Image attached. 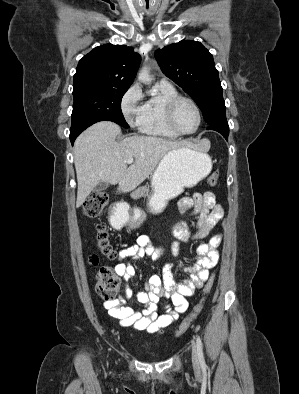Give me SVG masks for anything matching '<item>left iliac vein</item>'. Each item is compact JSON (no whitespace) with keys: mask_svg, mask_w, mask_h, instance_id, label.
<instances>
[{"mask_svg":"<svg viewBox=\"0 0 299 394\" xmlns=\"http://www.w3.org/2000/svg\"><path fill=\"white\" fill-rule=\"evenodd\" d=\"M192 362L194 366H199L198 351L195 344L192 345Z\"/></svg>","mask_w":299,"mask_h":394,"instance_id":"obj_1","label":"left iliac vein"}]
</instances>
